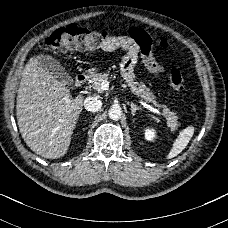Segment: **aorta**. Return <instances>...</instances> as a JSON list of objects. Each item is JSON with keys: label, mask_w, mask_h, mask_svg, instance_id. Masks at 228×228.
Segmentation results:
<instances>
[{"label": "aorta", "mask_w": 228, "mask_h": 228, "mask_svg": "<svg viewBox=\"0 0 228 228\" xmlns=\"http://www.w3.org/2000/svg\"><path fill=\"white\" fill-rule=\"evenodd\" d=\"M108 115L109 118L112 120H118L120 119L121 115H122V110L120 107H111L108 110Z\"/></svg>", "instance_id": "1"}]
</instances>
